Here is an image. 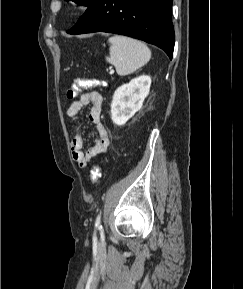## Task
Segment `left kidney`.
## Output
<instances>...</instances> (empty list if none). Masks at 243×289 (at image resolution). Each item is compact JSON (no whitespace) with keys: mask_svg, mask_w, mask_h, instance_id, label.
<instances>
[{"mask_svg":"<svg viewBox=\"0 0 243 289\" xmlns=\"http://www.w3.org/2000/svg\"><path fill=\"white\" fill-rule=\"evenodd\" d=\"M151 86V78L142 75L120 86L111 103V119L117 125H124L143 105Z\"/></svg>","mask_w":243,"mask_h":289,"instance_id":"left-kidney-1","label":"left kidney"}]
</instances>
